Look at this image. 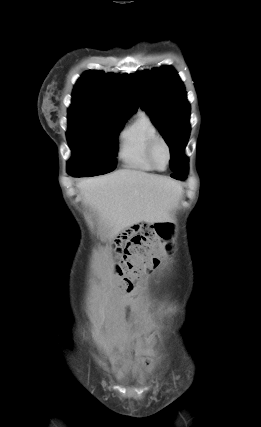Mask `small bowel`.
<instances>
[{
	"label": "small bowel",
	"mask_w": 261,
	"mask_h": 427,
	"mask_svg": "<svg viewBox=\"0 0 261 427\" xmlns=\"http://www.w3.org/2000/svg\"><path fill=\"white\" fill-rule=\"evenodd\" d=\"M144 328H150L151 327V325H150V323L149 322H146L145 324H144V326H143ZM138 354L140 355V356H146V357H151V356H153L154 355V352L153 351H151V350H138ZM145 362H146V364L148 365L149 363H148V361L147 360H145Z\"/></svg>",
	"instance_id": "1"
}]
</instances>
